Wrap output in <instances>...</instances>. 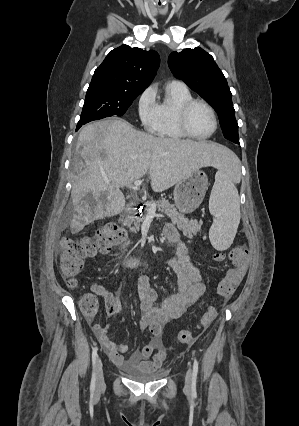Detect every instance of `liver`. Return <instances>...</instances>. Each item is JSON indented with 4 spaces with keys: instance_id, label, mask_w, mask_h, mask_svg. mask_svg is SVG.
<instances>
[{
    "instance_id": "1",
    "label": "liver",
    "mask_w": 299,
    "mask_h": 426,
    "mask_svg": "<svg viewBox=\"0 0 299 426\" xmlns=\"http://www.w3.org/2000/svg\"><path fill=\"white\" fill-rule=\"evenodd\" d=\"M75 156L72 233L95 220L121 213L125 197L120 188L147 172L153 191L162 192L201 167L221 169L236 161L234 153L218 143L155 137L116 118L84 126Z\"/></svg>"
}]
</instances>
